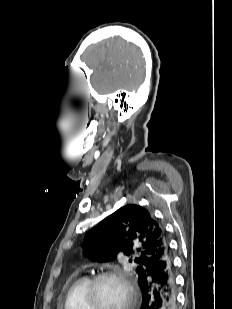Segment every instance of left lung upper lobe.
Here are the masks:
<instances>
[{
    "label": "left lung upper lobe",
    "instance_id": "5c2ea615",
    "mask_svg": "<svg viewBox=\"0 0 232 309\" xmlns=\"http://www.w3.org/2000/svg\"><path fill=\"white\" fill-rule=\"evenodd\" d=\"M90 260L111 262L119 254L136 264L138 283L148 269L169 250L163 226L143 207L127 205L106 217L84 238Z\"/></svg>",
    "mask_w": 232,
    "mask_h": 309
}]
</instances>
